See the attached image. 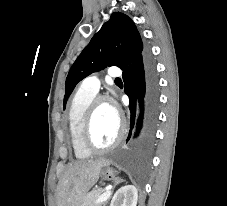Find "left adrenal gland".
Listing matches in <instances>:
<instances>
[{
  "mask_svg": "<svg viewBox=\"0 0 227 206\" xmlns=\"http://www.w3.org/2000/svg\"><path fill=\"white\" fill-rule=\"evenodd\" d=\"M123 181H124V180H123V179H121V178H117V179H115L114 187L112 188V191H111L110 197L107 199V201L105 202L104 206H106V204L108 203L109 199L111 198V195H112V193H113V191H114L115 187H116L119 183H121V182H123Z\"/></svg>",
  "mask_w": 227,
  "mask_h": 206,
  "instance_id": "1",
  "label": "left adrenal gland"
}]
</instances>
